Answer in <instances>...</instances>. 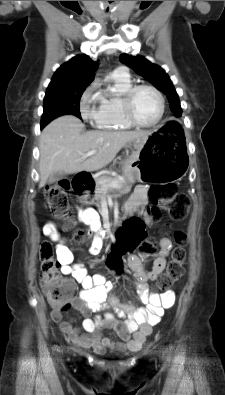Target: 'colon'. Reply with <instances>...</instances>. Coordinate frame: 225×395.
<instances>
[{
    "label": "colon",
    "instance_id": "1",
    "mask_svg": "<svg viewBox=\"0 0 225 395\" xmlns=\"http://www.w3.org/2000/svg\"><path fill=\"white\" fill-rule=\"evenodd\" d=\"M69 191L70 183L66 180L48 185L44 192L45 205L53 215L63 220L66 229L73 230L74 242L81 244L84 242L85 235L81 229H74L75 222L70 214L68 201ZM148 196L154 206L149 212L151 215L163 209L169 213L171 219L180 221L189 212L190 198L185 193L179 192L175 184L152 185ZM117 233L118 235L115 236L117 244H111L106 256L107 267H111L114 277L118 276L117 272H123V265L120 262V255L123 252L126 251V254L130 255L131 251L139 249L141 256H152L156 253L154 240L145 235V222L141 220V215H130V220L122 223V228H118ZM174 239L176 247L165 272L156 281V288L162 291H169L183 274L187 235L179 230L174 233ZM39 257L40 282L48 303L55 309L67 310L69 299L74 293V285L60 275V263L55 257L50 242L42 243Z\"/></svg>",
    "mask_w": 225,
    "mask_h": 395
}]
</instances>
